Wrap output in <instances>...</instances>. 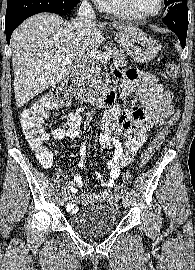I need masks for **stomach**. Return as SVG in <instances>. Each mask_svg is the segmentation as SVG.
Returning <instances> with one entry per match:
<instances>
[{
    "instance_id": "stomach-1",
    "label": "stomach",
    "mask_w": 195,
    "mask_h": 270,
    "mask_svg": "<svg viewBox=\"0 0 195 270\" xmlns=\"http://www.w3.org/2000/svg\"><path fill=\"white\" fill-rule=\"evenodd\" d=\"M122 49L136 62L147 63L154 59L159 51L158 42L140 30L115 33Z\"/></svg>"
}]
</instances>
